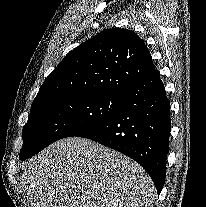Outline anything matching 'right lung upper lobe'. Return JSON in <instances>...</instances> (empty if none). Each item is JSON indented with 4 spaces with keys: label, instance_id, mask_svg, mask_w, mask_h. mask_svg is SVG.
Listing matches in <instances>:
<instances>
[{
    "label": "right lung upper lobe",
    "instance_id": "obj_1",
    "mask_svg": "<svg viewBox=\"0 0 206 207\" xmlns=\"http://www.w3.org/2000/svg\"><path fill=\"white\" fill-rule=\"evenodd\" d=\"M154 70L149 50L136 33L107 29L65 56L42 84L32 106L62 96L124 94Z\"/></svg>",
    "mask_w": 206,
    "mask_h": 207
}]
</instances>
